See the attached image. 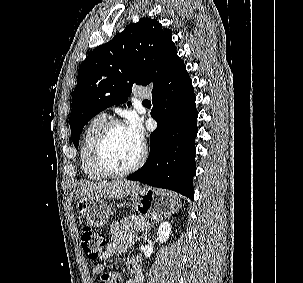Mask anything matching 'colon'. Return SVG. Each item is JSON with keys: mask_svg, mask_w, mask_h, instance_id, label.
Instances as JSON below:
<instances>
[{"mask_svg": "<svg viewBox=\"0 0 303 283\" xmlns=\"http://www.w3.org/2000/svg\"><path fill=\"white\" fill-rule=\"evenodd\" d=\"M105 236L91 229H84L80 236V244L89 259H97L100 257L105 246ZM99 283H118L117 276L111 273L103 274Z\"/></svg>", "mask_w": 303, "mask_h": 283, "instance_id": "5ec220e1", "label": "colon"}]
</instances>
